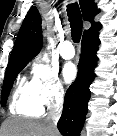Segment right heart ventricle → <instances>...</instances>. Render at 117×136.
<instances>
[{"mask_svg":"<svg viewBox=\"0 0 117 136\" xmlns=\"http://www.w3.org/2000/svg\"><path fill=\"white\" fill-rule=\"evenodd\" d=\"M11 110L28 117H38L43 113V107L34 98L30 85L24 78L16 85L11 100Z\"/></svg>","mask_w":117,"mask_h":136,"instance_id":"obj_1","label":"right heart ventricle"}]
</instances>
